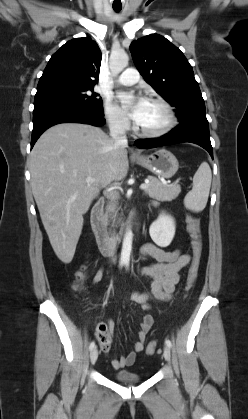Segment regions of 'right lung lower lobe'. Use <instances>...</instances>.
Returning <instances> with one entry per match:
<instances>
[{
  "instance_id": "right-lung-lower-lobe-1",
  "label": "right lung lower lobe",
  "mask_w": 248,
  "mask_h": 419,
  "mask_svg": "<svg viewBox=\"0 0 248 419\" xmlns=\"http://www.w3.org/2000/svg\"><path fill=\"white\" fill-rule=\"evenodd\" d=\"M67 122L103 126L105 119L104 113H96L83 105L75 103L59 102L35 106L31 148L46 129L55 124Z\"/></svg>"
}]
</instances>
